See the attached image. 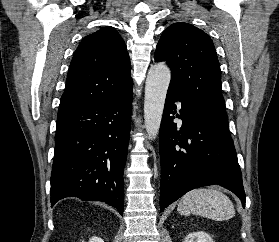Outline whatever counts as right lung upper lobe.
<instances>
[{"label": "right lung upper lobe", "instance_id": "right-lung-upper-lobe-1", "mask_svg": "<svg viewBox=\"0 0 279 242\" xmlns=\"http://www.w3.org/2000/svg\"><path fill=\"white\" fill-rule=\"evenodd\" d=\"M126 45L112 27L86 36L70 63L59 111L120 97L132 89Z\"/></svg>", "mask_w": 279, "mask_h": 242}]
</instances>
